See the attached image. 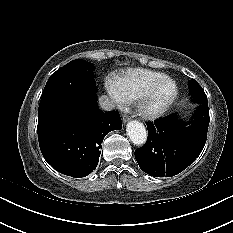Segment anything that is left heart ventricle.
I'll return each mask as SVG.
<instances>
[{
    "label": "left heart ventricle",
    "mask_w": 233,
    "mask_h": 233,
    "mask_svg": "<svg viewBox=\"0 0 233 233\" xmlns=\"http://www.w3.org/2000/svg\"><path fill=\"white\" fill-rule=\"evenodd\" d=\"M172 86L170 84L163 85L155 94L152 104L157 105L167 99L172 93Z\"/></svg>",
    "instance_id": "obj_1"
}]
</instances>
